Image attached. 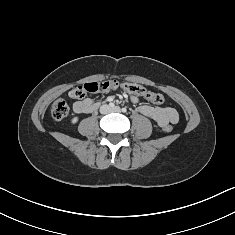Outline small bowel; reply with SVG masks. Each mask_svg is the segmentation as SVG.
<instances>
[{
	"instance_id": "c3829d8e",
	"label": "small bowel",
	"mask_w": 235,
	"mask_h": 235,
	"mask_svg": "<svg viewBox=\"0 0 235 235\" xmlns=\"http://www.w3.org/2000/svg\"><path fill=\"white\" fill-rule=\"evenodd\" d=\"M131 100L138 102L135 96H131ZM93 105L97 104L92 99L86 98L76 101L73 108L76 113H90V109ZM139 112L155 121L160 127L175 124L179 120V114L173 107H153L151 105L141 104L139 106Z\"/></svg>"
}]
</instances>
